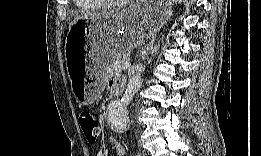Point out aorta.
<instances>
[{
	"instance_id": "obj_1",
	"label": "aorta",
	"mask_w": 261,
	"mask_h": 156,
	"mask_svg": "<svg viewBox=\"0 0 261 156\" xmlns=\"http://www.w3.org/2000/svg\"><path fill=\"white\" fill-rule=\"evenodd\" d=\"M142 68L137 67L136 72L130 77L124 95L120 99L111 101L107 107L106 121L108 127L122 133L127 129L128 111L127 106L133 100L142 85Z\"/></svg>"
}]
</instances>
